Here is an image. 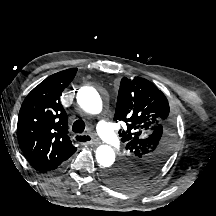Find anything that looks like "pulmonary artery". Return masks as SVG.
Segmentation results:
<instances>
[{
    "label": "pulmonary artery",
    "mask_w": 216,
    "mask_h": 216,
    "mask_svg": "<svg viewBox=\"0 0 216 216\" xmlns=\"http://www.w3.org/2000/svg\"><path fill=\"white\" fill-rule=\"evenodd\" d=\"M97 132L108 144L117 145L119 143L118 137L116 136L113 128L107 121L100 120L98 122Z\"/></svg>",
    "instance_id": "e3ab8cb5"
}]
</instances>
